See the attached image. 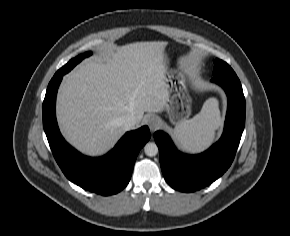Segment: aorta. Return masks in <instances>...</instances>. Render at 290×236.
I'll return each instance as SVG.
<instances>
[{
	"mask_svg": "<svg viewBox=\"0 0 290 236\" xmlns=\"http://www.w3.org/2000/svg\"><path fill=\"white\" fill-rule=\"evenodd\" d=\"M144 152L147 156L153 157L155 155H157L158 153V147L155 143L153 142H148L145 146H144Z\"/></svg>",
	"mask_w": 290,
	"mask_h": 236,
	"instance_id": "aorta-1",
	"label": "aorta"
}]
</instances>
